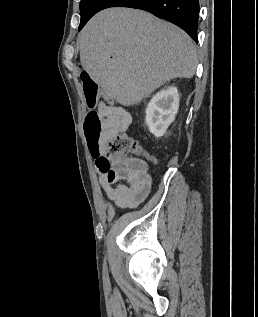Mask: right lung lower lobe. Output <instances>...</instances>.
I'll list each match as a JSON object with an SVG mask.
<instances>
[{"instance_id": "1", "label": "right lung lower lobe", "mask_w": 258, "mask_h": 317, "mask_svg": "<svg viewBox=\"0 0 258 317\" xmlns=\"http://www.w3.org/2000/svg\"><path fill=\"white\" fill-rule=\"evenodd\" d=\"M109 7L142 9L186 31L197 42L199 0H87L80 9L79 30L97 12Z\"/></svg>"}]
</instances>
